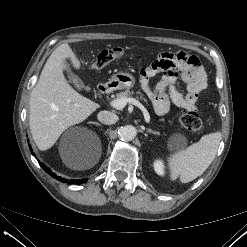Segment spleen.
Instances as JSON below:
<instances>
[{"label":"spleen","mask_w":247,"mask_h":247,"mask_svg":"<svg viewBox=\"0 0 247 247\" xmlns=\"http://www.w3.org/2000/svg\"><path fill=\"white\" fill-rule=\"evenodd\" d=\"M220 141V132L206 134L197 143L170 154L171 179L179 177L182 183H188L201 176L214 160Z\"/></svg>","instance_id":"spleen-1"}]
</instances>
